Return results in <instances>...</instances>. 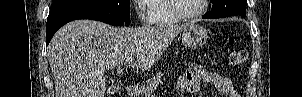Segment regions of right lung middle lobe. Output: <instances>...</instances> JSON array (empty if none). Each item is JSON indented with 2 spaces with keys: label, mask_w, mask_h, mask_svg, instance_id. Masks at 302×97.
Listing matches in <instances>:
<instances>
[{
  "label": "right lung middle lobe",
  "mask_w": 302,
  "mask_h": 97,
  "mask_svg": "<svg viewBox=\"0 0 302 97\" xmlns=\"http://www.w3.org/2000/svg\"><path fill=\"white\" fill-rule=\"evenodd\" d=\"M78 9H97L130 24V0H54L49 16Z\"/></svg>",
  "instance_id": "dd1d6c3e"
}]
</instances>
